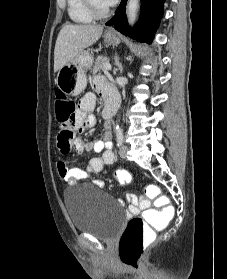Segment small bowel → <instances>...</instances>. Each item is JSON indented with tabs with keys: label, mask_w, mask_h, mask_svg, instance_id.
<instances>
[{
	"label": "small bowel",
	"mask_w": 227,
	"mask_h": 279,
	"mask_svg": "<svg viewBox=\"0 0 227 279\" xmlns=\"http://www.w3.org/2000/svg\"><path fill=\"white\" fill-rule=\"evenodd\" d=\"M94 87L97 93L101 94L106 101L115 100L118 103V95L116 90L105 83L101 78L94 80ZM97 105V96L95 93L89 92L81 97L78 103V111L75 116V125L77 129L90 128L95 125L96 118L93 115ZM106 131L104 132L102 139L98 141L84 142L80 139L70 140V135L60 129L59 135V149L61 152H69L72 148L77 153H83L84 151H94L101 153V157H95L89 160L85 169L78 167H69L63 162L58 165V173L62 179L68 184H74L78 181L86 180L94 173L103 172L107 166L113 164L116 161L115 153L110 150L112 147L111 133L109 132V125L106 124ZM128 200L131 202L129 205V213H138L141 210L150 207V201L146 197H137L133 193L127 195Z\"/></svg>",
	"instance_id": "small-bowel-1"
}]
</instances>
